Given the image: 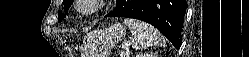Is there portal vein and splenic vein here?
<instances>
[{
	"label": "portal vein and splenic vein",
	"mask_w": 249,
	"mask_h": 57,
	"mask_svg": "<svg viewBox=\"0 0 249 57\" xmlns=\"http://www.w3.org/2000/svg\"><path fill=\"white\" fill-rule=\"evenodd\" d=\"M133 43V41H129V43L125 44L124 47L130 46ZM122 47V48H124ZM126 55L125 51L120 52V57H124Z\"/></svg>",
	"instance_id": "1"
}]
</instances>
